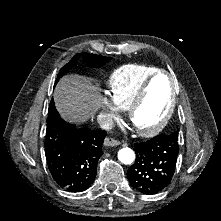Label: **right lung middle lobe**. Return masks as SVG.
I'll return each mask as SVG.
<instances>
[{"mask_svg":"<svg viewBox=\"0 0 221 221\" xmlns=\"http://www.w3.org/2000/svg\"><path fill=\"white\" fill-rule=\"evenodd\" d=\"M79 55L74 56L69 63H67L60 71L58 78H61L64 73H66L68 70H70L72 67H74L77 63ZM83 61L86 63L89 67H96L100 68L103 65H105L106 62H109L112 58L111 57H104V56H99L96 54H88V53H83L82 54Z\"/></svg>","mask_w":221,"mask_h":221,"instance_id":"right-lung-middle-lobe-1","label":"right lung middle lobe"}]
</instances>
